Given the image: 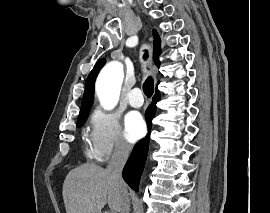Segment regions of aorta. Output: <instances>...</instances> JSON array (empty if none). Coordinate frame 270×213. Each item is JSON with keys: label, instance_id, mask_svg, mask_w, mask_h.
I'll list each match as a JSON object with an SVG mask.
<instances>
[{"label": "aorta", "instance_id": "obj_1", "mask_svg": "<svg viewBox=\"0 0 270 213\" xmlns=\"http://www.w3.org/2000/svg\"><path fill=\"white\" fill-rule=\"evenodd\" d=\"M123 79V65L118 61L108 63L99 73L96 93L105 110H112L117 105Z\"/></svg>", "mask_w": 270, "mask_h": 213}]
</instances>
